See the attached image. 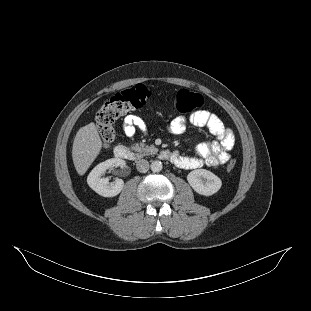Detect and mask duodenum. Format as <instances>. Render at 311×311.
<instances>
[{
	"label": "duodenum",
	"instance_id": "410a0bca",
	"mask_svg": "<svg viewBox=\"0 0 311 311\" xmlns=\"http://www.w3.org/2000/svg\"><path fill=\"white\" fill-rule=\"evenodd\" d=\"M114 155L117 158L127 159V160H135L137 158L136 153L124 145H117L114 148ZM158 156L160 159L168 160V161H172V162L175 159V154L168 151V150H163V151L159 152Z\"/></svg>",
	"mask_w": 311,
	"mask_h": 311
}]
</instances>
